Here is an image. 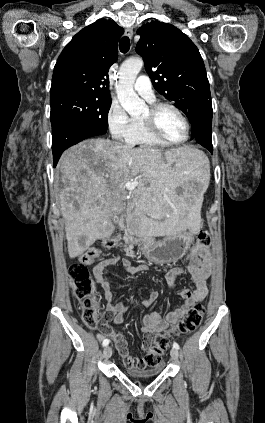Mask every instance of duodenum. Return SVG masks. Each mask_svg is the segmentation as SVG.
<instances>
[{
    "label": "duodenum",
    "instance_id": "duodenum-1",
    "mask_svg": "<svg viewBox=\"0 0 265 423\" xmlns=\"http://www.w3.org/2000/svg\"><path fill=\"white\" fill-rule=\"evenodd\" d=\"M122 230H124L125 226L123 224H121Z\"/></svg>",
    "mask_w": 265,
    "mask_h": 423
}]
</instances>
